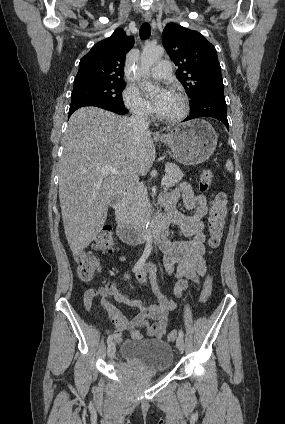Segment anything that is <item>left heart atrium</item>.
Here are the masks:
<instances>
[{
    "instance_id": "39dd6f15",
    "label": "left heart atrium",
    "mask_w": 285,
    "mask_h": 424,
    "mask_svg": "<svg viewBox=\"0 0 285 424\" xmlns=\"http://www.w3.org/2000/svg\"><path fill=\"white\" fill-rule=\"evenodd\" d=\"M172 96V92L169 89L162 88L153 102L154 110L159 113L162 111L166 103L169 101Z\"/></svg>"
}]
</instances>
